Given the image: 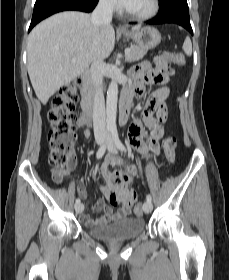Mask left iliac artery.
<instances>
[{
  "label": "left iliac artery",
  "instance_id": "left-iliac-artery-1",
  "mask_svg": "<svg viewBox=\"0 0 229 280\" xmlns=\"http://www.w3.org/2000/svg\"><path fill=\"white\" fill-rule=\"evenodd\" d=\"M111 133H112L113 142L115 143L116 147H117L119 150L123 151V152H127L126 147L123 145V143H122V142L120 141V139H119L117 129H113V130L111 131ZM146 199H147V201H150V202H151V199H152V198H151V195L148 194V195L146 196Z\"/></svg>",
  "mask_w": 229,
  "mask_h": 280
}]
</instances>
